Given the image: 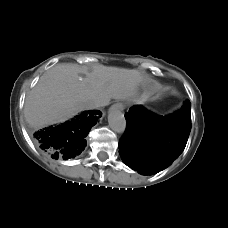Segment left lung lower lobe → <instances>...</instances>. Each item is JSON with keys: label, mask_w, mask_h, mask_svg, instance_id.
<instances>
[{"label": "left lung lower lobe", "mask_w": 228, "mask_h": 228, "mask_svg": "<svg viewBox=\"0 0 228 228\" xmlns=\"http://www.w3.org/2000/svg\"><path fill=\"white\" fill-rule=\"evenodd\" d=\"M125 118L120 156L130 168L150 175L168 167L183 152L191 130V103L187 100L178 112L165 117L135 105Z\"/></svg>", "instance_id": "0a47b994"}]
</instances>
